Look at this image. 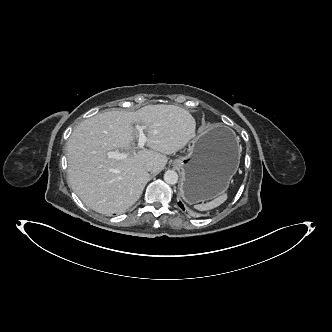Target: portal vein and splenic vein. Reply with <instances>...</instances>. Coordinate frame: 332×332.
<instances>
[{"label": "portal vein and splenic vein", "instance_id": "1", "mask_svg": "<svg viewBox=\"0 0 332 332\" xmlns=\"http://www.w3.org/2000/svg\"><path fill=\"white\" fill-rule=\"evenodd\" d=\"M145 128H146L145 126L136 125V130L138 131V144L136 149L143 148L145 143L148 141V138L144 134ZM126 156L127 155L125 153H121L118 150L107 152V157L109 159L122 160L125 159Z\"/></svg>", "mask_w": 332, "mask_h": 332}]
</instances>
